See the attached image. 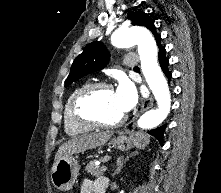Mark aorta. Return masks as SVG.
Segmentation results:
<instances>
[{
    "instance_id": "1",
    "label": "aorta",
    "mask_w": 221,
    "mask_h": 193,
    "mask_svg": "<svg viewBox=\"0 0 221 193\" xmlns=\"http://www.w3.org/2000/svg\"><path fill=\"white\" fill-rule=\"evenodd\" d=\"M115 47L138 45V54L144 77L157 101L158 108L144 113L137 121L141 129L161 124L170 112L171 98L167 81L157 62V46L150 32L141 27L120 28L111 36Z\"/></svg>"
}]
</instances>
